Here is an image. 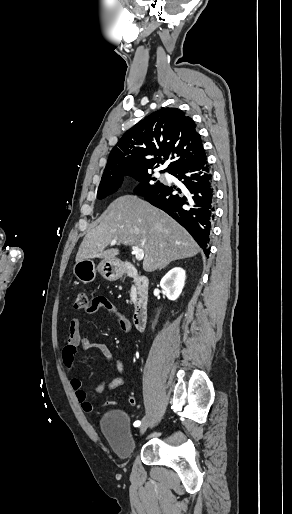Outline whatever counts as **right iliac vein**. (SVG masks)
Here are the masks:
<instances>
[{"instance_id":"obj_1","label":"right iliac vein","mask_w":292,"mask_h":514,"mask_svg":"<svg viewBox=\"0 0 292 514\" xmlns=\"http://www.w3.org/2000/svg\"><path fill=\"white\" fill-rule=\"evenodd\" d=\"M149 423H150V415L147 414L144 418H143V421H142V424L140 426V433H144V431L148 428L149 426Z\"/></svg>"}]
</instances>
